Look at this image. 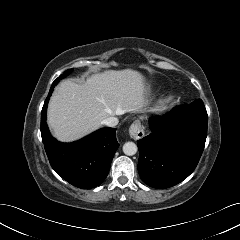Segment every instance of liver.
I'll return each mask as SVG.
<instances>
[{
    "instance_id": "6515ba94",
    "label": "liver",
    "mask_w": 240,
    "mask_h": 240,
    "mask_svg": "<svg viewBox=\"0 0 240 240\" xmlns=\"http://www.w3.org/2000/svg\"><path fill=\"white\" fill-rule=\"evenodd\" d=\"M148 106L140 72L108 70L93 74L82 84L61 82L49 102L48 125L58 140L71 142L97 130L108 117L165 110L163 103Z\"/></svg>"
}]
</instances>
